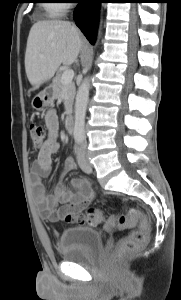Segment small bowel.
Instances as JSON below:
<instances>
[{
	"mask_svg": "<svg viewBox=\"0 0 181 300\" xmlns=\"http://www.w3.org/2000/svg\"><path fill=\"white\" fill-rule=\"evenodd\" d=\"M45 124L48 130V139L39 150L34 161L32 185L35 199L42 211L47 213L50 222H59L66 215H79L84 208L95 198V192L83 178H73L71 189L62 182H58L51 192H47L42 181L44 176L51 172L52 156L57 153L59 122L55 110H49L45 115ZM75 168L72 158L65 160L61 175L64 176ZM61 205L60 208H57Z\"/></svg>",
	"mask_w": 181,
	"mask_h": 300,
	"instance_id": "small-bowel-1",
	"label": "small bowel"
}]
</instances>
